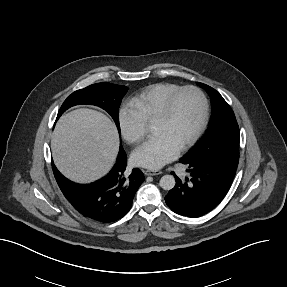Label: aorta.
<instances>
[{
	"instance_id": "762f6f07",
	"label": "aorta",
	"mask_w": 287,
	"mask_h": 287,
	"mask_svg": "<svg viewBox=\"0 0 287 287\" xmlns=\"http://www.w3.org/2000/svg\"><path fill=\"white\" fill-rule=\"evenodd\" d=\"M175 178L172 175H164L160 179V186L164 190H171L175 186Z\"/></svg>"
}]
</instances>
